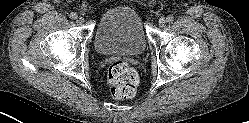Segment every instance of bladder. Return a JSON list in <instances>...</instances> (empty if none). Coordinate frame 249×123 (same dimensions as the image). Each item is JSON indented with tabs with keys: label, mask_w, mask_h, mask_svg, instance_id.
Returning a JSON list of instances; mask_svg holds the SVG:
<instances>
[{
	"label": "bladder",
	"mask_w": 249,
	"mask_h": 123,
	"mask_svg": "<svg viewBox=\"0 0 249 123\" xmlns=\"http://www.w3.org/2000/svg\"><path fill=\"white\" fill-rule=\"evenodd\" d=\"M147 45L148 36L141 14L131 3L114 6L96 25L94 48L101 55H138Z\"/></svg>",
	"instance_id": "bladder-1"
}]
</instances>
